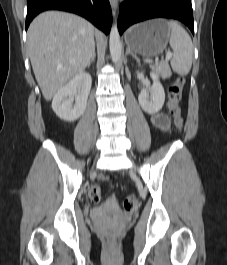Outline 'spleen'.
<instances>
[{"label":"spleen","instance_id":"spleen-1","mask_svg":"<svg viewBox=\"0 0 227 265\" xmlns=\"http://www.w3.org/2000/svg\"><path fill=\"white\" fill-rule=\"evenodd\" d=\"M168 27L171 31L169 43L173 49L174 57L171 67L174 72L185 76L189 73L193 59V44L186 30L176 21H169Z\"/></svg>","mask_w":227,"mask_h":265}]
</instances>
